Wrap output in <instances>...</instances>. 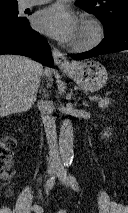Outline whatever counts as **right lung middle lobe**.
I'll use <instances>...</instances> for the list:
<instances>
[{
	"label": "right lung middle lobe",
	"mask_w": 128,
	"mask_h": 213,
	"mask_svg": "<svg viewBox=\"0 0 128 213\" xmlns=\"http://www.w3.org/2000/svg\"><path fill=\"white\" fill-rule=\"evenodd\" d=\"M25 17L18 16V5L0 7V21L5 22H21Z\"/></svg>",
	"instance_id": "dd1d6c3e"
}]
</instances>
